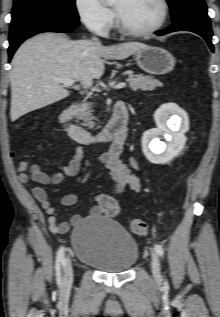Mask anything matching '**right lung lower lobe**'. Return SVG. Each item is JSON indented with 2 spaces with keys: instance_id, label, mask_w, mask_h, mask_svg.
Listing matches in <instances>:
<instances>
[{
  "instance_id": "right-lung-lower-lobe-1",
  "label": "right lung lower lobe",
  "mask_w": 220,
  "mask_h": 317,
  "mask_svg": "<svg viewBox=\"0 0 220 317\" xmlns=\"http://www.w3.org/2000/svg\"><path fill=\"white\" fill-rule=\"evenodd\" d=\"M79 26L78 20L58 15H36L10 25L9 61L18 46L27 38L42 32H68Z\"/></svg>"
}]
</instances>
